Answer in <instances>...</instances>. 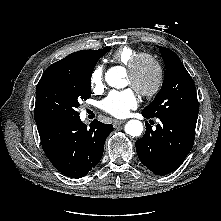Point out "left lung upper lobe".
<instances>
[{"mask_svg":"<svg viewBox=\"0 0 221 221\" xmlns=\"http://www.w3.org/2000/svg\"><path fill=\"white\" fill-rule=\"evenodd\" d=\"M160 52L166 67V77L155 99L142 113L149 118L196 125L199 106L195 84L173 51L160 47Z\"/></svg>","mask_w":221,"mask_h":221,"instance_id":"1","label":"left lung upper lobe"}]
</instances>
